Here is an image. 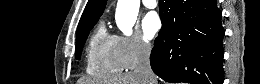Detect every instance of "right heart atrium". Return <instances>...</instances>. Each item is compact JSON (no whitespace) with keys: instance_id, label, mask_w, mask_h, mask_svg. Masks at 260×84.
<instances>
[{"instance_id":"obj_1","label":"right heart atrium","mask_w":260,"mask_h":84,"mask_svg":"<svg viewBox=\"0 0 260 84\" xmlns=\"http://www.w3.org/2000/svg\"><path fill=\"white\" fill-rule=\"evenodd\" d=\"M115 37L117 55L123 68L132 69L149 58L152 47L138 31L133 32L131 35Z\"/></svg>"}]
</instances>
